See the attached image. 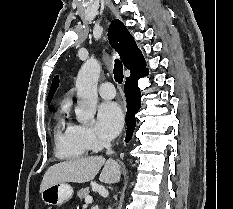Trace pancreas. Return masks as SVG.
Instances as JSON below:
<instances>
[{"label": "pancreas", "instance_id": "obj_1", "mask_svg": "<svg viewBox=\"0 0 233 209\" xmlns=\"http://www.w3.org/2000/svg\"><path fill=\"white\" fill-rule=\"evenodd\" d=\"M89 188H82L77 192V197L80 198V200H83L84 198H86L87 196H89Z\"/></svg>", "mask_w": 233, "mask_h": 209}]
</instances>
